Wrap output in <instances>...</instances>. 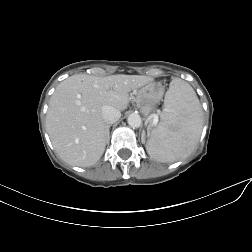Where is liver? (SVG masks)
<instances>
[{"label":"liver","instance_id":"liver-1","mask_svg":"<svg viewBox=\"0 0 252 252\" xmlns=\"http://www.w3.org/2000/svg\"><path fill=\"white\" fill-rule=\"evenodd\" d=\"M151 81L147 76L124 74H78L62 81L50 98L46 115V129L60 158L80 167L98 162L107 139L102 107L109 105L124 111L129 93Z\"/></svg>","mask_w":252,"mask_h":252}]
</instances>
